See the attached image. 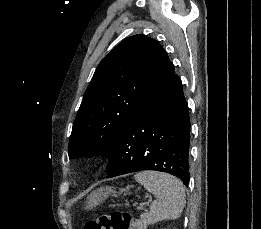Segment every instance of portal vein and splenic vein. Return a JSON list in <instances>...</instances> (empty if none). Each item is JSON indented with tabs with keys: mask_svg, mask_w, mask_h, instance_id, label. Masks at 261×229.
I'll list each match as a JSON object with an SVG mask.
<instances>
[{
	"mask_svg": "<svg viewBox=\"0 0 261 229\" xmlns=\"http://www.w3.org/2000/svg\"><path fill=\"white\" fill-rule=\"evenodd\" d=\"M133 207H134V208H137V207H138V208H148V207H149V204H148V203H138V204H137V203H134V204H133Z\"/></svg>",
	"mask_w": 261,
	"mask_h": 229,
	"instance_id": "obj_1",
	"label": "portal vein and splenic vein"
}]
</instances>
